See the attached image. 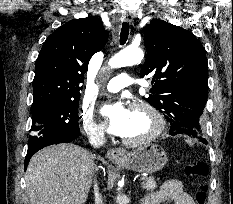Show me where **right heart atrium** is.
<instances>
[{
    "label": "right heart atrium",
    "instance_id": "d8ad5b80",
    "mask_svg": "<svg viewBox=\"0 0 233 204\" xmlns=\"http://www.w3.org/2000/svg\"><path fill=\"white\" fill-rule=\"evenodd\" d=\"M80 126L83 134L90 142L97 143L104 140L103 130L94 122L91 115L82 111L80 114Z\"/></svg>",
    "mask_w": 233,
    "mask_h": 204
}]
</instances>
